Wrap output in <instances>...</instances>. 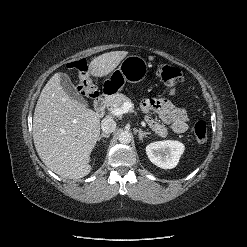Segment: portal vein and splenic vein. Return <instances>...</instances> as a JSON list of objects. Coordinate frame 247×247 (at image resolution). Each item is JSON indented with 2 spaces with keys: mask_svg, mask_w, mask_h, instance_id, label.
<instances>
[{
  "mask_svg": "<svg viewBox=\"0 0 247 247\" xmlns=\"http://www.w3.org/2000/svg\"><path fill=\"white\" fill-rule=\"evenodd\" d=\"M132 109V103L126 102L121 108L110 109L111 113L115 116H121L124 113L129 112Z\"/></svg>",
  "mask_w": 247,
  "mask_h": 247,
  "instance_id": "1",
  "label": "portal vein and splenic vein"
}]
</instances>
